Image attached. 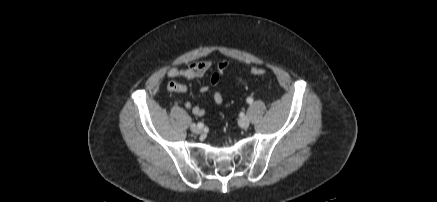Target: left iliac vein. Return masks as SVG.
I'll return each instance as SVG.
<instances>
[{
  "mask_svg": "<svg viewBox=\"0 0 437 202\" xmlns=\"http://www.w3.org/2000/svg\"><path fill=\"white\" fill-rule=\"evenodd\" d=\"M249 124H250V122H249V119L247 117H242L238 121V125L243 129L248 128Z\"/></svg>",
  "mask_w": 437,
  "mask_h": 202,
  "instance_id": "1",
  "label": "left iliac vein"
}]
</instances>
